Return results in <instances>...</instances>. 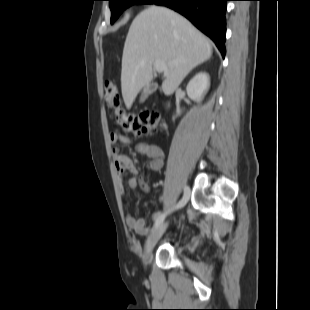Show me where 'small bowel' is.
I'll list each match as a JSON object with an SVG mask.
<instances>
[{"instance_id":"1","label":"small bowel","mask_w":310,"mask_h":310,"mask_svg":"<svg viewBox=\"0 0 310 310\" xmlns=\"http://www.w3.org/2000/svg\"><path fill=\"white\" fill-rule=\"evenodd\" d=\"M109 140L112 145L111 153L119 183L120 194H125L123 180L128 175L130 176L128 179L129 188L135 189L140 186L143 191L148 192L150 189L144 180L143 173H140L134 161L127 155L121 153L120 149L116 146L117 143L130 145L133 143L132 139L129 136L121 134L117 131H111L109 134ZM135 148L140 154L150 158V162L146 165V170L159 171L163 167L165 162V154L158 145L146 142H138L135 144ZM161 214L162 213L159 211L153 213L152 219L156 221ZM126 223L130 229L139 235L145 236L149 232V228L145 219H136L131 215H127Z\"/></svg>"}]
</instances>
